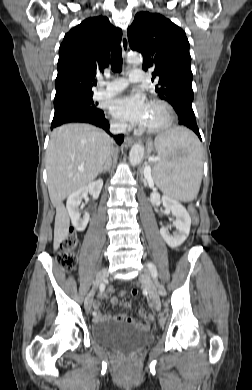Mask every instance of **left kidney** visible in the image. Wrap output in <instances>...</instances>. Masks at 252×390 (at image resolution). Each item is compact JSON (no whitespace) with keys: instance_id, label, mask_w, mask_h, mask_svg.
<instances>
[{"instance_id":"left-kidney-1","label":"left kidney","mask_w":252,"mask_h":390,"mask_svg":"<svg viewBox=\"0 0 252 390\" xmlns=\"http://www.w3.org/2000/svg\"><path fill=\"white\" fill-rule=\"evenodd\" d=\"M150 201L152 205L156 207L162 204L165 209L171 211L172 215L176 218L173 221L176 232H174L173 235H170L168 229L171 226L168 225L160 229V234L169 247L176 248L180 246L186 240L190 232L191 218L187 210L177 200L168 196L161 197L155 189L150 195Z\"/></svg>"}]
</instances>
